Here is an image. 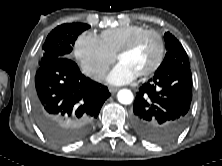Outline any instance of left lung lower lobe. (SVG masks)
I'll return each instance as SVG.
<instances>
[{"mask_svg": "<svg viewBox=\"0 0 222 166\" xmlns=\"http://www.w3.org/2000/svg\"><path fill=\"white\" fill-rule=\"evenodd\" d=\"M190 68H174L155 74L135 98L132 124L144 139L167 144L185 128L192 100Z\"/></svg>", "mask_w": 222, "mask_h": 166, "instance_id": "0a47b994", "label": "left lung lower lobe"}]
</instances>
